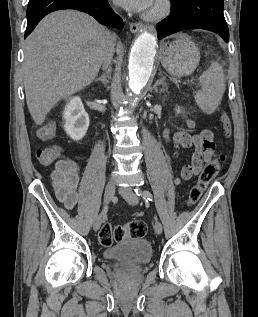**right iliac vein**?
I'll use <instances>...</instances> for the list:
<instances>
[{"mask_svg":"<svg viewBox=\"0 0 258 317\" xmlns=\"http://www.w3.org/2000/svg\"><path fill=\"white\" fill-rule=\"evenodd\" d=\"M115 190H116V182L114 180H111L108 182L104 189V197L105 199L103 200L104 207H107V205L110 203L109 199H112L115 195ZM94 229L97 231L99 227L102 225V218L101 216H96L95 221L93 222Z\"/></svg>","mask_w":258,"mask_h":317,"instance_id":"63e3f726","label":"right iliac vein"}]
</instances>
